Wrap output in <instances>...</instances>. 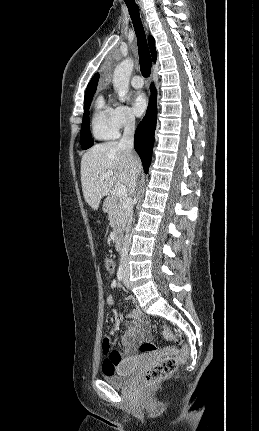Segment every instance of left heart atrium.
I'll list each match as a JSON object with an SVG mask.
<instances>
[{
    "mask_svg": "<svg viewBox=\"0 0 259 431\" xmlns=\"http://www.w3.org/2000/svg\"><path fill=\"white\" fill-rule=\"evenodd\" d=\"M147 108V98L144 93L138 92L133 96L132 109L135 115L141 116Z\"/></svg>",
    "mask_w": 259,
    "mask_h": 431,
    "instance_id": "obj_1",
    "label": "left heart atrium"
}]
</instances>
